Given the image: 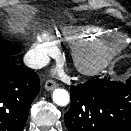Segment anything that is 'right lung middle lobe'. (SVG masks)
Masks as SVG:
<instances>
[{
    "label": "right lung middle lobe",
    "instance_id": "1",
    "mask_svg": "<svg viewBox=\"0 0 131 131\" xmlns=\"http://www.w3.org/2000/svg\"><path fill=\"white\" fill-rule=\"evenodd\" d=\"M16 48V45L12 44L10 41L5 40L0 34V54L8 56V54Z\"/></svg>",
    "mask_w": 131,
    "mask_h": 131
}]
</instances>
